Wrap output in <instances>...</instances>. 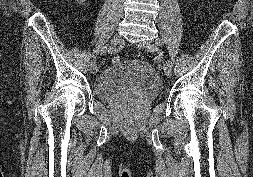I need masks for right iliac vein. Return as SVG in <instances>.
<instances>
[{
	"label": "right iliac vein",
	"instance_id": "1",
	"mask_svg": "<svg viewBox=\"0 0 253 177\" xmlns=\"http://www.w3.org/2000/svg\"><path fill=\"white\" fill-rule=\"evenodd\" d=\"M111 43L114 46L120 45L122 43V37L119 34H115L112 39H111ZM94 63V61L91 62V64ZM95 68H92L90 66V70L92 74H96L98 72V67H97V63Z\"/></svg>",
	"mask_w": 253,
	"mask_h": 177
}]
</instances>
